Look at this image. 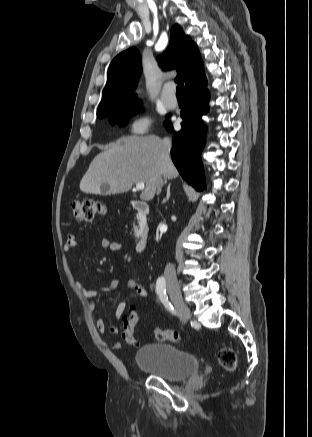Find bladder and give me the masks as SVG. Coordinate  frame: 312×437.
<instances>
[{
    "mask_svg": "<svg viewBox=\"0 0 312 437\" xmlns=\"http://www.w3.org/2000/svg\"><path fill=\"white\" fill-rule=\"evenodd\" d=\"M135 361L139 369L170 382L184 380L199 372V362L193 353L164 342L142 346Z\"/></svg>",
    "mask_w": 312,
    "mask_h": 437,
    "instance_id": "bladder-1",
    "label": "bladder"
}]
</instances>
